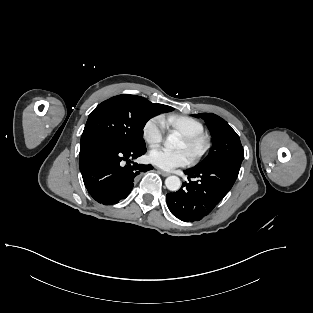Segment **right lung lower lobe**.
Returning <instances> with one entry per match:
<instances>
[{
	"label": "right lung lower lobe",
	"instance_id": "1",
	"mask_svg": "<svg viewBox=\"0 0 313 313\" xmlns=\"http://www.w3.org/2000/svg\"><path fill=\"white\" fill-rule=\"evenodd\" d=\"M146 151V145L128 146L103 136L81 142L79 167L89 194L104 205L125 199L136 177L153 169L150 164H130Z\"/></svg>",
	"mask_w": 313,
	"mask_h": 313
}]
</instances>
